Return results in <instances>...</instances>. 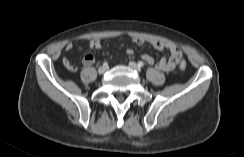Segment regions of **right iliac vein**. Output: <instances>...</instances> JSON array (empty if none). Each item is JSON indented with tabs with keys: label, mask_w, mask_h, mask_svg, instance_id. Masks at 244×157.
Here are the masks:
<instances>
[{
	"label": "right iliac vein",
	"mask_w": 244,
	"mask_h": 157,
	"mask_svg": "<svg viewBox=\"0 0 244 157\" xmlns=\"http://www.w3.org/2000/svg\"><path fill=\"white\" fill-rule=\"evenodd\" d=\"M105 71H106V67L105 66H101V67L98 68V73L99 74H104Z\"/></svg>",
	"instance_id": "63e3f726"
}]
</instances>
